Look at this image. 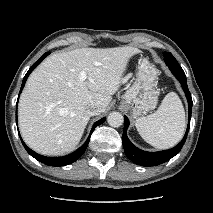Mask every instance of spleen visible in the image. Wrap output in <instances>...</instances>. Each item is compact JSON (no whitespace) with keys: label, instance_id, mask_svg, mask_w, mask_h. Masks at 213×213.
Wrapping results in <instances>:
<instances>
[{"label":"spleen","instance_id":"3e777b00","mask_svg":"<svg viewBox=\"0 0 213 213\" xmlns=\"http://www.w3.org/2000/svg\"><path fill=\"white\" fill-rule=\"evenodd\" d=\"M135 125L140 136L156 148L166 149L176 145L186 126L181 100L176 93H168L156 112L138 118Z\"/></svg>","mask_w":213,"mask_h":213}]
</instances>
